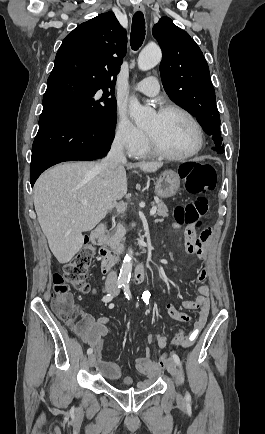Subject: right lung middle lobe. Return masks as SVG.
Returning <instances> with one entry per match:
<instances>
[{
    "label": "right lung middle lobe",
    "instance_id": "dd1d6c3e",
    "mask_svg": "<svg viewBox=\"0 0 265 434\" xmlns=\"http://www.w3.org/2000/svg\"><path fill=\"white\" fill-rule=\"evenodd\" d=\"M113 85L83 75L49 77L43 105H60L89 125L113 130L117 107Z\"/></svg>",
    "mask_w": 265,
    "mask_h": 434
}]
</instances>
